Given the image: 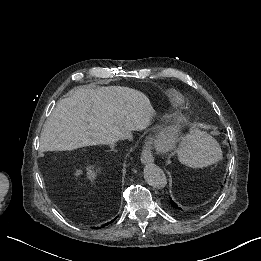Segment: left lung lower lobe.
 I'll return each mask as SVG.
<instances>
[{
	"instance_id": "left-lung-lower-lobe-1",
	"label": "left lung lower lobe",
	"mask_w": 261,
	"mask_h": 261,
	"mask_svg": "<svg viewBox=\"0 0 261 261\" xmlns=\"http://www.w3.org/2000/svg\"><path fill=\"white\" fill-rule=\"evenodd\" d=\"M170 204L172 206V208L175 210V211H181L182 209L173 201L170 199Z\"/></svg>"
}]
</instances>
